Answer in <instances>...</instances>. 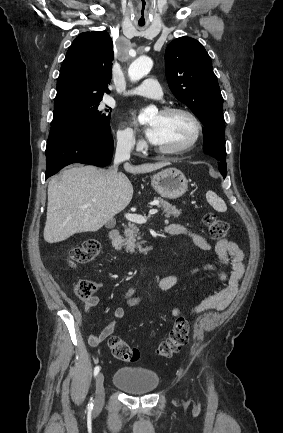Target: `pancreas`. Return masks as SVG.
I'll return each instance as SVG.
<instances>
[{"mask_svg": "<svg viewBox=\"0 0 283 433\" xmlns=\"http://www.w3.org/2000/svg\"><path fill=\"white\" fill-rule=\"evenodd\" d=\"M154 200H159V204H155V206H161L163 208V212H166L165 217H179V214H181V210L179 208H176V206H173V204H170V202H167V200H163L161 196H154ZM124 235L127 239L125 245H126V251H129L131 255L133 253H136L135 249H138L139 253H144V255H147L148 251H150L149 247H146V249H142L140 247L139 243L137 241H140V233L138 227L136 225H129L128 229H125ZM142 243H146V241H142Z\"/></svg>", "mask_w": 283, "mask_h": 433, "instance_id": "pancreas-1", "label": "pancreas"}]
</instances>
